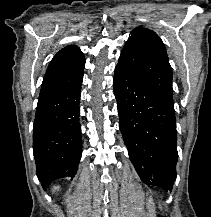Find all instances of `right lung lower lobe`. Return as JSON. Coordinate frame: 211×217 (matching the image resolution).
Here are the masks:
<instances>
[{"instance_id":"1","label":"right lung lower lobe","mask_w":211,"mask_h":217,"mask_svg":"<svg viewBox=\"0 0 211 217\" xmlns=\"http://www.w3.org/2000/svg\"><path fill=\"white\" fill-rule=\"evenodd\" d=\"M83 73L38 99L33 127L36 174L44 189L62 177H74L82 153L79 101Z\"/></svg>"}]
</instances>
